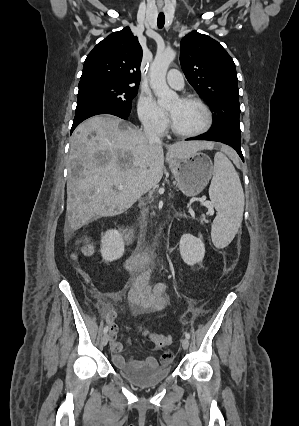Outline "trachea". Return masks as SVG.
Returning a JSON list of instances; mask_svg holds the SVG:
<instances>
[{"mask_svg":"<svg viewBox=\"0 0 299 426\" xmlns=\"http://www.w3.org/2000/svg\"><path fill=\"white\" fill-rule=\"evenodd\" d=\"M164 23H165V15L163 12H160L157 19L158 28L159 29L163 28Z\"/></svg>","mask_w":299,"mask_h":426,"instance_id":"1","label":"trachea"}]
</instances>
